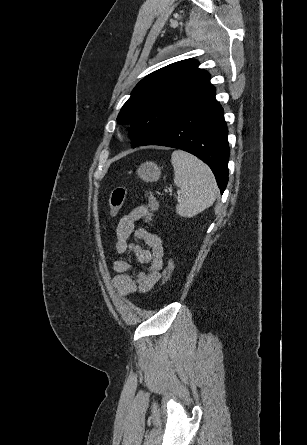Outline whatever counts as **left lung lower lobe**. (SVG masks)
<instances>
[{
	"label": "left lung lower lobe",
	"mask_w": 307,
	"mask_h": 445,
	"mask_svg": "<svg viewBox=\"0 0 307 445\" xmlns=\"http://www.w3.org/2000/svg\"><path fill=\"white\" fill-rule=\"evenodd\" d=\"M228 129L215 92L189 108L140 145H161L187 151L213 171L221 194L228 182Z\"/></svg>",
	"instance_id": "0a47b994"
}]
</instances>
